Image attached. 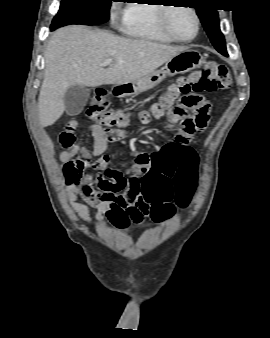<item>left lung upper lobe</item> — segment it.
<instances>
[{
	"instance_id": "obj_1",
	"label": "left lung upper lobe",
	"mask_w": 270,
	"mask_h": 338,
	"mask_svg": "<svg viewBox=\"0 0 270 338\" xmlns=\"http://www.w3.org/2000/svg\"><path fill=\"white\" fill-rule=\"evenodd\" d=\"M214 2V0H199L195 9L216 50L227 56L225 38L220 31L218 13L213 7Z\"/></svg>"
}]
</instances>
